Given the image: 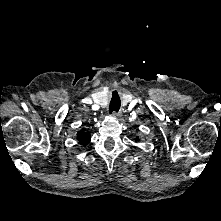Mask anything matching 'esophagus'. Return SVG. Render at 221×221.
Wrapping results in <instances>:
<instances>
[{"instance_id": "esophagus-1", "label": "esophagus", "mask_w": 221, "mask_h": 221, "mask_svg": "<svg viewBox=\"0 0 221 221\" xmlns=\"http://www.w3.org/2000/svg\"><path fill=\"white\" fill-rule=\"evenodd\" d=\"M113 117H121L122 116V111H118V112H113L112 113Z\"/></svg>"}]
</instances>
